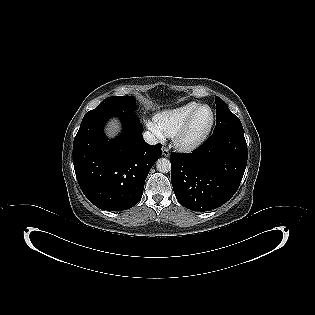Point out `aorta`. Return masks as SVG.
I'll list each match as a JSON object with an SVG mask.
<instances>
[{
    "label": "aorta",
    "instance_id": "762f6f07",
    "mask_svg": "<svg viewBox=\"0 0 315 315\" xmlns=\"http://www.w3.org/2000/svg\"><path fill=\"white\" fill-rule=\"evenodd\" d=\"M156 168L159 172L168 173L171 170V163L167 158H160L156 162Z\"/></svg>",
    "mask_w": 315,
    "mask_h": 315
}]
</instances>
